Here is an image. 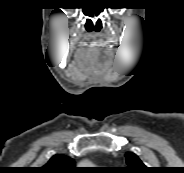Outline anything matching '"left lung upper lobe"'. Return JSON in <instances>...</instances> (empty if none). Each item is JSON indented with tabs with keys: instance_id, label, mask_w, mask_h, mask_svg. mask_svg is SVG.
Returning a JSON list of instances; mask_svg holds the SVG:
<instances>
[{
	"instance_id": "1",
	"label": "left lung upper lobe",
	"mask_w": 184,
	"mask_h": 173,
	"mask_svg": "<svg viewBox=\"0 0 184 173\" xmlns=\"http://www.w3.org/2000/svg\"><path fill=\"white\" fill-rule=\"evenodd\" d=\"M126 163L128 167L124 168L127 173H146L147 167L142 163L134 153H126Z\"/></svg>"
}]
</instances>
